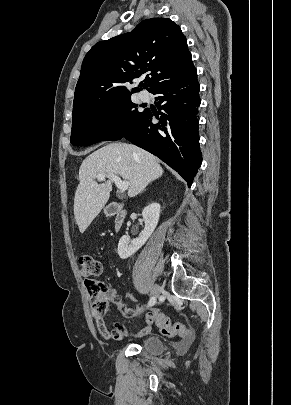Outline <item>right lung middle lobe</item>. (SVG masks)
<instances>
[{
    "label": "right lung middle lobe",
    "instance_id": "dd1d6c3e",
    "mask_svg": "<svg viewBox=\"0 0 291 405\" xmlns=\"http://www.w3.org/2000/svg\"><path fill=\"white\" fill-rule=\"evenodd\" d=\"M146 110L139 111L130 96L87 106L73 113L71 143L89 146L119 140L137 125Z\"/></svg>",
    "mask_w": 291,
    "mask_h": 405
}]
</instances>
